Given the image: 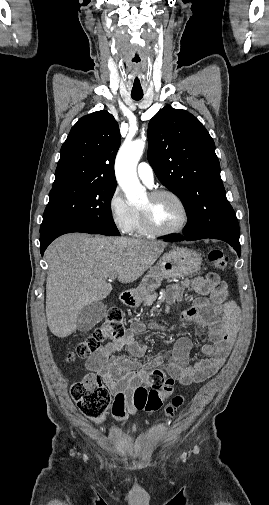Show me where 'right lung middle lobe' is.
Masks as SVG:
<instances>
[{
    "label": "right lung middle lobe",
    "instance_id": "dd1d6c3e",
    "mask_svg": "<svg viewBox=\"0 0 269 505\" xmlns=\"http://www.w3.org/2000/svg\"><path fill=\"white\" fill-rule=\"evenodd\" d=\"M115 188V184L107 183H72L53 187L40 233L54 225L69 224L103 235H120L110 211Z\"/></svg>",
    "mask_w": 269,
    "mask_h": 505
}]
</instances>
